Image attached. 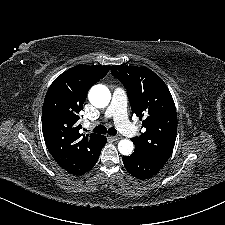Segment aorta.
I'll list each match as a JSON object with an SVG mask.
<instances>
[{
    "mask_svg": "<svg viewBox=\"0 0 225 225\" xmlns=\"http://www.w3.org/2000/svg\"><path fill=\"white\" fill-rule=\"evenodd\" d=\"M88 98L90 103L97 108L106 107L111 100V93L108 87L102 84L94 85L89 93ZM134 144L128 139L121 140L118 143V150L122 155L128 156L132 154Z\"/></svg>",
    "mask_w": 225,
    "mask_h": 225,
    "instance_id": "obj_1",
    "label": "aorta"
}]
</instances>
